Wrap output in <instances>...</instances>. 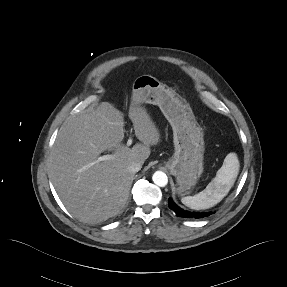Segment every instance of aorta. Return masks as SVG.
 Wrapping results in <instances>:
<instances>
[{
  "mask_svg": "<svg viewBox=\"0 0 287 287\" xmlns=\"http://www.w3.org/2000/svg\"><path fill=\"white\" fill-rule=\"evenodd\" d=\"M152 180L159 187H165L168 183V177L162 171H156L152 176Z\"/></svg>",
  "mask_w": 287,
  "mask_h": 287,
  "instance_id": "1",
  "label": "aorta"
}]
</instances>
